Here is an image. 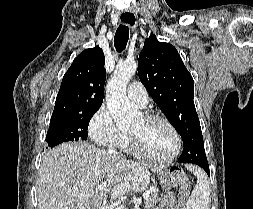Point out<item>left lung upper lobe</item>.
<instances>
[{
    "mask_svg": "<svg viewBox=\"0 0 253 209\" xmlns=\"http://www.w3.org/2000/svg\"><path fill=\"white\" fill-rule=\"evenodd\" d=\"M138 75L155 103L183 140L180 163L207 160L199 118L194 105V81L176 48L159 42L154 34L144 42Z\"/></svg>",
    "mask_w": 253,
    "mask_h": 209,
    "instance_id": "1",
    "label": "left lung upper lobe"
}]
</instances>
